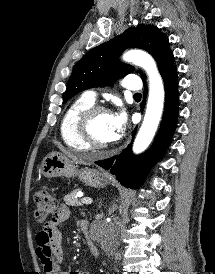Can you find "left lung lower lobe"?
I'll use <instances>...</instances> for the list:
<instances>
[{"label": "left lung lower lobe", "mask_w": 215, "mask_h": 274, "mask_svg": "<svg viewBox=\"0 0 215 274\" xmlns=\"http://www.w3.org/2000/svg\"><path fill=\"white\" fill-rule=\"evenodd\" d=\"M162 77L165 86L164 114L153 146L144 154L135 156L132 154L130 144L119 155L95 162L100 167L109 169L121 184L132 189L139 188L144 182L149 168L170 144L177 126L179 93L176 66H173ZM146 93L147 89L145 85L144 100L141 103L142 110L144 108ZM135 132L136 129L133 131V136Z\"/></svg>", "instance_id": "0a47b994"}]
</instances>
